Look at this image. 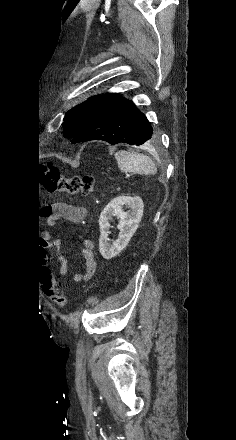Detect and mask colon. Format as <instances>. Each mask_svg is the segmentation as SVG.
Instances as JSON below:
<instances>
[{"instance_id": "1", "label": "colon", "mask_w": 236, "mask_h": 440, "mask_svg": "<svg viewBox=\"0 0 236 440\" xmlns=\"http://www.w3.org/2000/svg\"><path fill=\"white\" fill-rule=\"evenodd\" d=\"M43 184L47 191H61L68 194L90 195L94 191L95 181L92 176L64 177L60 168L52 162L43 166L41 173ZM57 276H46L43 280V289L45 293L59 306L67 305L68 300L65 294L56 285Z\"/></svg>"}]
</instances>
